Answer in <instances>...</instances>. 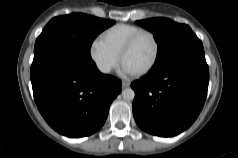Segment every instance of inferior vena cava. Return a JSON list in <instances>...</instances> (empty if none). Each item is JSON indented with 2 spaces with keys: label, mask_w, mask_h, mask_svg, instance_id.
Here are the masks:
<instances>
[{
  "label": "inferior vena cava",
  "mask_w": 238,
  "mask_h": 158,
  "mask_svg": "<svg viewBox=\"0 0 238 158\" xmlns=\"http://www.w3.org/2000/svg\"><path fill=\"white\" fill-rule=\"evenodd\" d=\"M98 69L103 73H108L111 70V66L108 64H99Z\"/></svg>",
  "instance_id": "1"
}]
</instances>
